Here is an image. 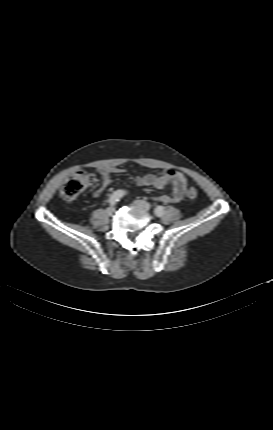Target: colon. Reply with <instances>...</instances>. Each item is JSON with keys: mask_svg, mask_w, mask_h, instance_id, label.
I'll list each match as a JSON object with an SVG mask.
<instances>
[{"mask_svg": "<svg viewBox=\"0 0 273 430\" xmlns=\"http://www.w3.org/2000/svg\"><path fill=\"white\" fill-rule=\"evenodd\" d=\"M95 181L93 174L80 171L73 174L63 185L60 195L63 200L71 201L77 198L82 192L89 188ZM198 195L197 189L191 187L187 191V196L190 199L196 198Z\"/></svg>", "mask_w": 273, "mask_h": 430, "instance_id": "1", "label": "colon"}]
</instances>
